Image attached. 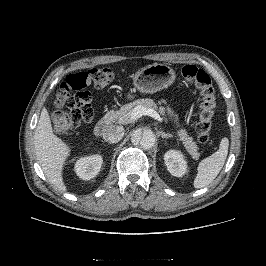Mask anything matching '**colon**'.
I'll return each instance as SVG.
<instances>
[{"mask_svg": "<svg viewBox=\"0 0 266 266\" xmlns=\"http://www.w3.org/2000/svg\"><path fill=\"white\" fill-rule=\"evenodd\" d=\"M181 74L188 84L199 91L200 112L196 132L199 142L206 144L211 138L216 109V95L211 78L194 65L184 66ZM113 81L114 72L108 67H97L69 75L57 93V106L65 105L66 109L55 113V132L61 133L68 128L79 127L82 123H90L94 117L95 100L87 90L88 84L91 82L98 89H106Z\"/></svg>", "mask_w": 266, "mask_h": 266, "instance_id": "1", "label": "colon"}]
</instances>
